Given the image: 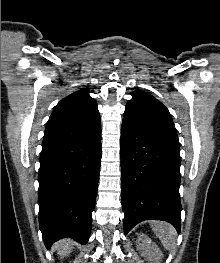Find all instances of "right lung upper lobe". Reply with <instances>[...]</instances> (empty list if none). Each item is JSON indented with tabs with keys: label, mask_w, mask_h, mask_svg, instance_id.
<instances>
[{
	"label": "right lung upper lobe",
	"mask_w": 220,
	"mask_h": 263,
	"mask_svg": "<svg viewBox=\"0 0 220 263\" xmlns=\"http://www.w3.org/2000/svg\"><path fill=\"white\" fill-rule=\"evenodd\" d=\"M101 127L95 99L86 89L62 99L53 109L47 123L46 138H81Z\"/></svg>",
	"instance_id": "right-lung-upper-lobe-1"
}]
</instances>
